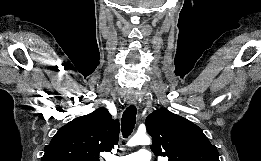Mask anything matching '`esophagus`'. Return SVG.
Returning a JSON list of instances; mask_svg holds the SVG:
<instances>
[{"label":"esophagus","instance_id":"esophagus-1","mask_svg":"<svg viewBox=\"0 0 261 161\" xmlns=\"http://www.w3.org/2000/svg\"><path fill=\"white\" fill-rule=\"evenodd\" d=\"M137 96L134 94H128L126 97V101L128 105H135L137 103Z\"/></svg>","mask_w":261,"mask_h":161}]
</instances>
